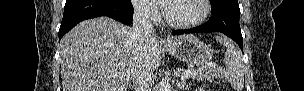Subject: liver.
Wrapping results in <instances>:
<instances>
[{
    "label": "liver",
    "mask_w": 304,
    "mask_h": 91,
    "mask_svg": "<svg viewBox=\"0 0 304 91\" xmlns=\"http://www.w3.org/2000/svg\"><path fill=\"white\" fill-rule=\"evenodd\" d=\"M132 32L111 18L98 17L65 34L60 42L63 91H127L141 57L152 69L158 68L161 51L156 36L149 38L141 56Z\"/></svg>",
    "instance_id": "obj_1"
}]
</instances>
